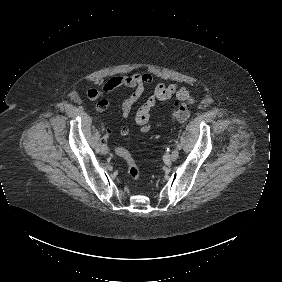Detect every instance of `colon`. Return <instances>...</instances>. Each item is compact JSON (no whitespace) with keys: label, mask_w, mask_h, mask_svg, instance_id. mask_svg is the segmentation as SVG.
I'll list each match as a JSON object with an SVG mask.
<instances>
[{"label":"colon","mask_w":282,"mask_h":282,"mask_svg":"<svg viewBox=\"0 0 282 282\" xmlns=\"http://www.w3.org/2000/svg\"><path fill=\"white\" fill-rule=\"evenodd\" d=\"M172 116L177 121H185L188 117V110L183 106L177 107L173 110ZM115 154L126 162L129 177L132 180H138L141 172L131 151L127 148L119 147L115 149Z\"/></svg>","instance_id":"colon-1"}]
</instances>
